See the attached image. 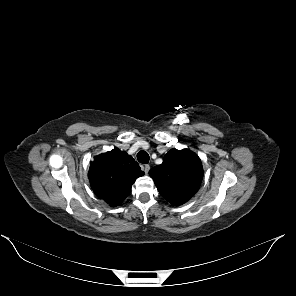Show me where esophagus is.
Segmentation results:
<instances>
[{"label":"esophagus","instance_id":"esophagus-1","mask_svg":"<svg viewBox=\"0 0 296 296\" xmlns=\"http://www.w3.org/2000/svg\"><path fill=\"white\" fill-rule=\"evenodd\" d=\"M149 170H150V165H145L144 166V171H145V173L147 174L148 172H149Z\"/></svg>","mask_w":296,"mask_h":296}]
</instances>
